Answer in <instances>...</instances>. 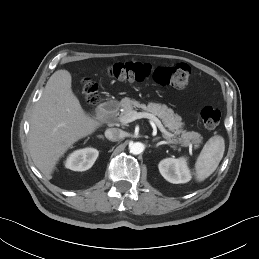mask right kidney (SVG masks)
I'll return each mask as SVG.
<instances>
[{"instance_id": "1", "label": "right kidney", "mask_w": 259, "mask_h": 259, "mask_svg": "<svg viewBox=\"0 0 259 259\" xmlns=\"http://www.w3.org/2000/svg\"><path fill=\"white\" fill-rule=\"evenodd\" d=\"M98 154V150L94 148L76 150L67 158L65 167L73 171L88 170L96 161Z\"/></svg>"}]
</instances>
